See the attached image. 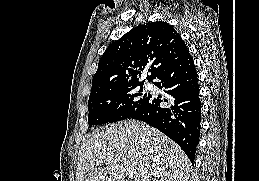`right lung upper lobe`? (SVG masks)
Masks as SVG:
<instances>
[{"label": "right lung upper lobe", "mask_w": 259, "mask_h": 181, "mask_svg": "<svg viewBox=\"0 0 259 181\" xmlns=\"http://www.w3.org/2000/svg\"><path fill=\"white\" fill-rule=\"evenodd\" d=\"M188 52L181 36L166 22L139 25L108 46L94 74L90 97L143 84L138 76L149 66L151 81Z\"/></svg>", "instance_id": "obj_1"}]
</instances>
